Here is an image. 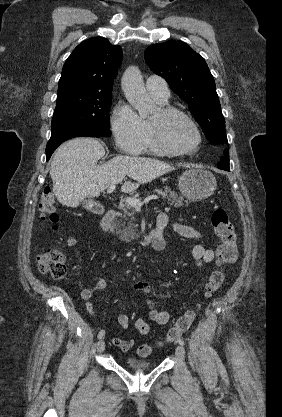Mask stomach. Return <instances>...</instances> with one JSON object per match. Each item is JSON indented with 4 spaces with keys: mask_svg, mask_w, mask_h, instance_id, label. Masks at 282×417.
<instances>
[{
    "mask_svg": "<svg viewBox=\"0 0 282 417\" xmlns=\"http://www.w3.org/2000/svg\"><path fill=\"white\" fill-rule=\"evenodd\" d=\"M178 186L183 196L189 200H204L214 194L217 180L210 170L188 168L181 174Z\"/></svg>",
    "mask_w": 282,
    "mask_h": 417,
    "instance_id": "stomach-1",
    "label": "stomach"
}]
</instances>
